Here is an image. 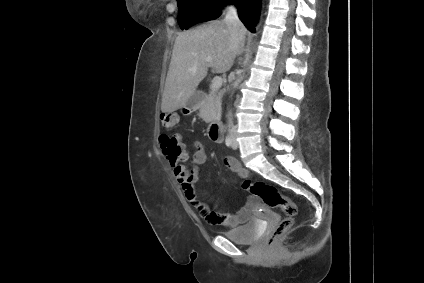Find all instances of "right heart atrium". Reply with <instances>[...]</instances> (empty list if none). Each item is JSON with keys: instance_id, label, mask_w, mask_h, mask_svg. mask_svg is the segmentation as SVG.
<instances>
[{"instance_id": "right-heart-atrium-1", "label": "right heart atrium", "mask_w": 424, "mask_h": 283, "mask_svg": "<svg viewBox=\"0 0 424 283\" xmlns=\"http://www.w3.org/2000/svg\"><path fill=\"white\" fill-rule=\"evenodd\" d=\"M219 2H221V1H218V0H207V3L209 4V5H216L217 3H219Z\"/></svg>"}]
</instances>
